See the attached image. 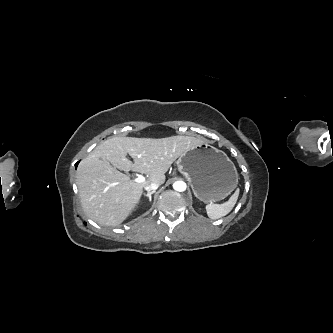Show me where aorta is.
I'll list each match as a JSON object with an SVG mask.
<instances>
[{"label": "aorta", "instance_id": "762f6f07", "mask_svg": "<svg viewBox=\"0 0 333 333\" xmlns=\"http://www.w3.org/2000/svg\"><path fill=\"white\" fill-rule=\"evenodd\" d=\"M186 183L183 181H177L173 184V188L176 191L183 192L186 190Z\"/></svg>", "mask_w": 333, "mask_h": 333}]
</instances>
